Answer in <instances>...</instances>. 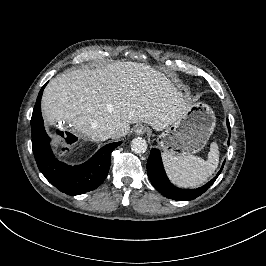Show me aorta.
Returning <instances> with one entry per match:
<instances>
[{
    "label": "aorta",
    "instance_id": "762f6f07",
    "mask_svg": "<svg viewBox=\"0 0 266 266\" xmlns=\"http://www.w3.org/2000/svg\"><path fill=\"white\" fill-rule=\"evenodd\" d=\"M131 148L133 152L137 154H142L147 151L148 145L145 139L143 138H135L131 141Z\"/></svg>",
    "mask_w": 266,
    "mask_h": 266
}]
</instances>
